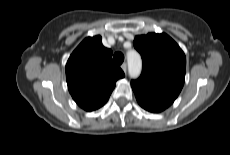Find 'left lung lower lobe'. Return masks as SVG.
I'll use <instances>...</instances> for the list:
<instances>
[{
    "instance_id": "1",
    "label": "left lung lower lobe",
    "mask_w": 230,
    "mask_h": 155,
    "mask_svg": "<svg viewBox=\"0 0 230 155\" xmlns=\"http://www.w3.org/2000/svg\"><path fill=\"white\" fill-rule=\"evenodd\" d=\"M137 101L142 108H144L145 110H147L149 112L159 113V112L166 109L165 107L158 105V104H155V103H152V102H148V101H144V100H137Z\"/></svg>"
}]
</instances>
